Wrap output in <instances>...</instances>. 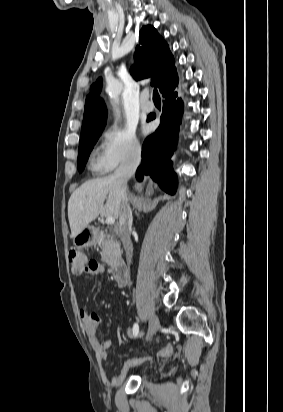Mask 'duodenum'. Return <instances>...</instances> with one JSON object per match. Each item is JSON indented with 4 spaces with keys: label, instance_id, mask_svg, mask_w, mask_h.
<instances>
[{
    "label": "duodenum",
    "instance_id": "obj_1",
    "mask_svg": "<svg viewBox=\"0 0 283 412\" xmlns=\"http://www.w3.org/2000/svg\"><path fill=\"white\" fill-rule=\"evenodd\" d=\"M112 274L116 283L124 286L128 282L127 270L122 262H115L112 266Z\"/></svg>",
    "mask_w": 283,
    "mask_h": 412
}]
</instances>
